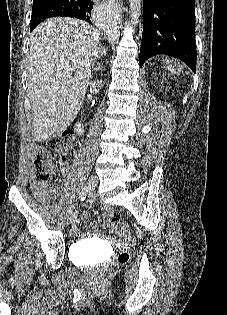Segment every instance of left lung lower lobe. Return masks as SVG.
Segmentation results:
<instances>
[{"instance_id": "obj_1", "label": "left lung lower lobe", "mask_w": 227, "mask_h": 315, "mask_svg": "<svg viewBox=\"0 0 227 315\" xmlns=\"http://www.w3.org/2000/svg\"><path fill=\"white\" fill-rule=\"evenodd\" d=\"M143 14L140 66L167 54L196 72L194 0H143Z\"/></svg>"}]
</instances>
